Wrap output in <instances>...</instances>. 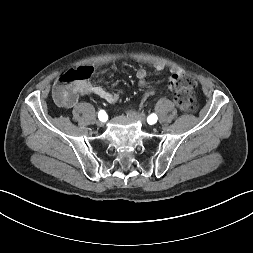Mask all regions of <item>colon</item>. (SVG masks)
<instances>
[{
  "label": "colon",
  "instance_id": "obj_1",
  "mask_svg": "<svg viewBox=\"0 0 253 253\" xmlns=\"http://www.w3.org/2000/svg\"><path fill=\"white\" fill-rule=\"evenodd\" d=\"M91 74L87 67L71 69L61 74L54 86V99L61 105L73 101L75 97L74 86L79 81L86 80ZM196 80L192 75L182 74L170 80L169 88L174 94L177 106L184 112H195L198 109V103L194 96ZM156 88L149 89L138 102V106L143 108L148 99L157 95Z\"/></svg>",
  "mask_w": 253,
  "mask_h": 253
}]
</instances>
